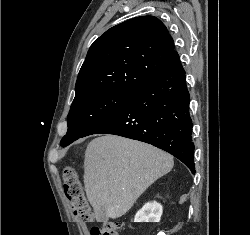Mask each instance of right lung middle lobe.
Listing matches in <instances>:
<instances>
[{
	"label": "right lung middle lobe",
	"instance_id": "obj_1",
	"mask_svg": "<svg viewBox=\"0 0 250 235\" xmlns=\"http://www.w3.org/2000/svg\"><path fill=\"white\" fill-rule=\"evenodd\" d=\"M132 92L98 91L75 99L68 114V131L60 145L65 147L83 137L95 125L117 111Z\"/></svg>",
	"mask_w": 250,
	"mask_h": 235
}]
</instances>
